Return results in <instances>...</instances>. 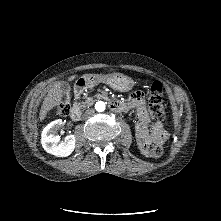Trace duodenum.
Listing matches in <instances>:
<instances>
[{"mask_svg": "<svg viewBox=\"0 0 221 221\" xmlns=\"http://www.w3.org/2000/svg\"><path fill=\"white\" fill-rule=\"evenodd\" d=\"M92 80L88 78L81 79L76 88H75V97L79 98L84 89L91 84ZM109 107L114 112H123L128 110V106H126L124 103H122L119 100H110L109 101ZM81 117V108L78 103H74L71 111H70V118L74 121L79 120Z\"/></svg>", "mask_w": 221, "mask_h": 221, "instance_id": "duodenum-1", "label": "duodenum"}]
</instances>
